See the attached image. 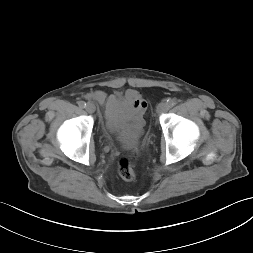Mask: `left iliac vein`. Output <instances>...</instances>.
Returning a JSON list of instances; mask_svg holds the SVG:
<instances>
[{"label": "left iliac vein", "instance_id": "obj_1", "mask_svg": "<svg viewBox=\"0 0 253 253\" xmlns=\"http://www.w3.org/2000/svg\"><path fill=\"white\" fill-rule=\"evenodd\" d=\"M169 109V105L166 102H161L160 104H158L157 106V112L158 113H164L167 112Z\"/></svg>", "mask_w": 253, "mask_h": 253}]
</instances>
